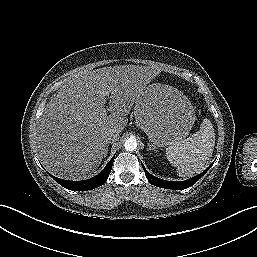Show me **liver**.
I'll return each mask as SVG.
<instances>
[{
    "instance_id": "6515ba94",
    "label": "liver",
    "mask_w": 257,
    "mask_h": 257,
    "mask_svg": "<svg viewBox=\"0 0 257 257\" xmlns=\"http://www.w3.org/2000/svg\"><path fill=\"white\" fill-rule=\"evenodd\" d=\"M158 74L154 67L120 65L70 79L50 98L38 126V153L46 170L65 179L87 178L107 152L103 133L124 130L126 116Z\"/></svg>"
}]
</instances>
